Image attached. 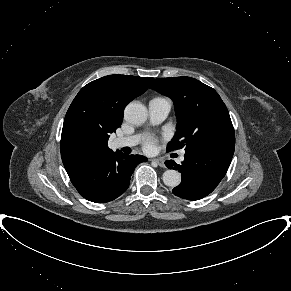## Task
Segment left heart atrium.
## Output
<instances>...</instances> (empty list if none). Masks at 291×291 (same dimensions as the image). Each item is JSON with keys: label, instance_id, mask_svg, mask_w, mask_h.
Listing matches in <instances>:
<instances>
[{"label": "left heart atrium", "instance_id": "39dd6f15", "mask_svg": "<svg viewBox=\"0 0 291 291\" xmlns=\"http://www.w3.org/2000/svg\"><path fill=\"white\" fill-rule=\"evenodd\" d=\"M156 139L154 137H148L144 143L146 151L151 152L155 149Z\"/></svg>", "mask_w": 291, "mask_h": 291}]
</instances>
